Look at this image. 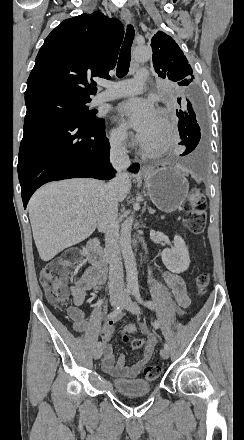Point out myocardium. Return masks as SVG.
I'll return each mask as SVG.
<instances>
[{
	"instance_id": "1",
	"label": "myocardium",
	"mask_w": 244,
	"mask_h": 440,
	"mask_svg": "<svg viewBox=\"0 0 244 440\" xmlns=\"http://www.w3.org/2000/svg\"><path fill=\"white\" fill-rule=\"evenodd\" d=\"M156 113L162 114L164 116V120H165L166 126L168 128L169 125H170V119H171L170 112L168 110L164 109V108H159ZM162 139H163V136L161 138H159L158 140H155L153 142H143V144L144 145H152V144H154L156 142L161 141Z\"/></svg>"
}]
</instances>
